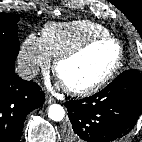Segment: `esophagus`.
Listing matches in <instances>:
<instances>
[{"label": "esophagus", "mask_w": 142, "mask_h": 142, "mask_svg": "<svg viewBox=\"0 0 142 142\" xmlns=\"http://www.w3.org/2000/svg\"><path fill=\"white\" fill-rule=\"evenodd\" d=\"M53 102H54L53 97L47 95L46 98H45V103L46 104H52Z\"/></svg>", "instance_id": "obj_1"}]
</instances>
